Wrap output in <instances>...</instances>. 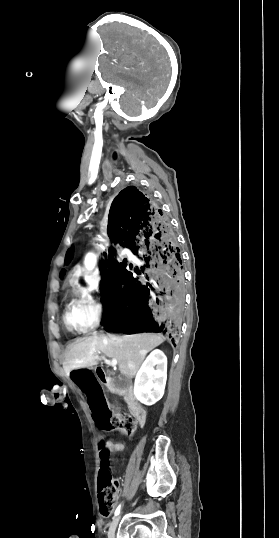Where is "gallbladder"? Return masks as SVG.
<instances>
[{"mask_svg":"<svg viewBox=\"0 0 279 538\" xmlns=\"http://www.w3.org/2000/svg\"><path fill=\"white\" fill-rule=\"evenodd\" d=\"M130 383V380L128 378V376H117V378H115L114 380V384L117 385V387H128ZM115 407L116 408H121L122 407V402L121 401H116L115 402Z\"/></svg>","mask_w":279,"mask_h":538,"instance_id":"obj_1","label":"gallbladder"}]
</instances>
